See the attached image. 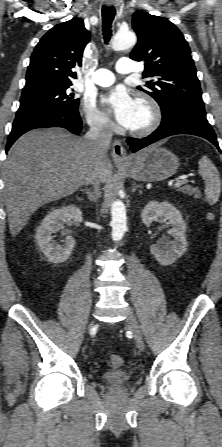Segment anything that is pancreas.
Returning <instances> with one entry per match:
<instances>
[{"label":"pancreas","instance_id":"1","mask_svg":"<svg viewBox=\"0 0 222 447\" xmlns=\"http://www.w3.org/2000/svg\"><path fill=\"white\" fill-rule=\"evenodd\" d=\"M179 191L183 192L184 194L193 196L196 199L201 198V193L197 188H194L192 186H184L179 189Z\"/></svg>","mask_w":222,"mask_h":447}]
</instances>
